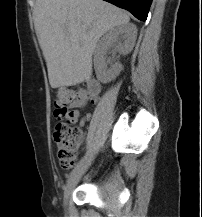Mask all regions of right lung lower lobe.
<instances>
[{
    "label": "right lung lower lobe",
    "instance_id": "obj_1",
    "mask_svg": "<svg viewBox=\"0 0 202 217\" xmlns=\"http://www.w3.org/2000/svg\"><path fill=\"white\" fill-rule=\"evenodd\" d=\"M131 12L137 19L145 21L152 0H105Z\"/></svg>",
    "mask_w": 202,
    "mask_h": 217
}]
</instances>
